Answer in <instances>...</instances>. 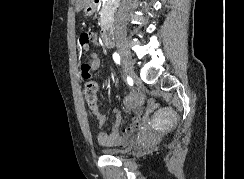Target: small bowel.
I'll list each match as a JSON object with an SVG mask.
<instances>
[{"mask_svg": "<svg viewBox=\"0 0 244 179\" xmlns=\"http://www.w3.org/2000/svg\"><path fill=\"white\" fill-rule=\"evenodd\" d=\"M100 44V36L95 32H83L79 37V48L86 54L89 59L84 61L81 65L82 75L89 77L92 73L97 72L101 67V60L97 53L91 51V46H98ZM127 109L134 112V118L129 126L120 129L122 123V116L116 112L115 119L108 131H100L96 136V141L103 147H115L126 142L130 133L140 125V116L142 108L140 101L136 97L127 98L125 100ZM91 114L96 118L98 126L102 127L106 123V118L101 114L98 107L91 108Z\"/></svg>", "mask_w": 244, "mask_h": 179, "instance_id": "c3829d8e", "label": "small bowel"}]
</instances>
